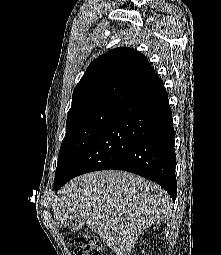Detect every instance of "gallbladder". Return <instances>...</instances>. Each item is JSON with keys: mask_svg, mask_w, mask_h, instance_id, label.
Masks as SVG:
<instances>
[{"mask_svg": "<svg viewBox=\"0 0 221 255\" xmlns=\"http://www.w3.org/2000/svg\"><path fill=\"white\" fill-rule=\"evenodd\" d=\"M84 222H85V219H84L83 217H81V216H76V217L72 220V222H71V224H70L71 230H72L73 232L78 231V230L82 227V225L84 224Z\"/></svg>", "mask_w": 221, "mask_h": 255, "instance_id": "gallbladder-1", "label": "gallbladder"}]
</instances>
